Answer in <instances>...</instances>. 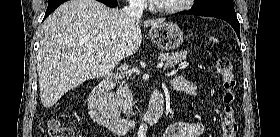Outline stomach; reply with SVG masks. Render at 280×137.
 Instances as JSON below:
<instances>
[{
	"instance_id": "0dacf381",
	"label": "stomach",
	"mask_w": 280,
	"mask_h": 137,
	"mask_svg": "<svg viewBox=\"0 0 280 137\" xmlns=\"http://www.w3.org/2000/svg\"><path fill=\"white\" fill-rule=\"evenodd\" d=\"M149 37L156 47L164 51L175 50L183 43V32L173 22L152 26Z\"/></svg>"
}]
</instances>
